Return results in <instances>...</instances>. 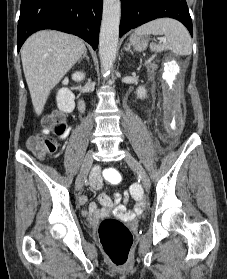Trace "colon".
Returning a JSON list of instances; mask_svg holds the SVG:
<instances>
[{
    "label": "colon",
    "mask_w": 227,
    "mask_h": 279,
    "mask_svg": "<svg viewBox=\"0 0 227 279\" xmlns=\"http://www.w3.org/2000/svg\"><path fill=\"white\" fill-rule=\"evenodd\" d=\"M181 106L184 108L182 98ZM58 114L59 112H56L54 116L44 119V124L51 126L55 133H61L65 129V123L55 117ZM28 147L38 157L43 158L54 152L57 149V144L50 138L40 136L31 138L28 141ZM106 179L112 183H120L122 175L118 170L113 169L106 173ZM99 240L102 249L115 265H125L127 263L133 237L124 223L115 219L104 220L99 227Z\"/></svg>",
    "instance_id": "5ec220e1"
}]
</instances>
